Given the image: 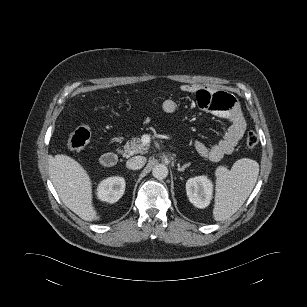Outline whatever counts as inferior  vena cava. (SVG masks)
Wrapping results in <instances>:
<instances>
[{
  "label": "inferior vena cava",
  "instance_id": "inferior-vena-cava-1",
  "mask_svg": "<svg viewBox=\"0 0 307 307\" xmlns=\"http://www.w3.org/2000/svg\"><path fill=\"white\" fill-rule=\"evenodd\" d=\"M146 163V158L143 156H135L126 162V166L132 170L141 169Z\"/></svg>",
  "mask_w": 307,
  "mask_h": 307
}]
</instances>
